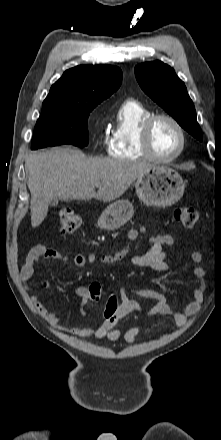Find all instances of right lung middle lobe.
<instances>
[{
    "label": "right lung middle lobe",
    "instance_id": "right-lung-middle-lobe-1",
    "mask_svg": "<svg viewBox=\"0 0 221 440\" xmlns=\"http://www.w3.org/2000/svg\"><path fill=\"white\" fill-rule=\"evenodd\" d=\"M97 105L43 102L31 149L71 144L88 145V116Z\"/></svg>",
    "mask_w": 221,
    "mask_h": 440
}]
</instances>
